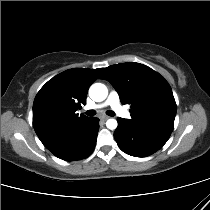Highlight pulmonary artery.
I'll return each mask as SVG.
<instances>
[{
	"instance_id": "pulmonary-artery-1",
	"label": "pulmonary artery",
	"mask_w": 210,
	"mask_h": 210,
	"mask_svg": "<svg viewBox=\"0 0 210 210\" xmlns=\"http://www.w3.org/2000/svg\"><path fill=\"white\" fill-rule=\"evenodd\" d=\"M105 105L110 106L112 110L122 118H129L130 113L120 104L119 96L116 92H111ZM102 106H92L89 108H100Z\"/></svg>"
}]
</instances>
